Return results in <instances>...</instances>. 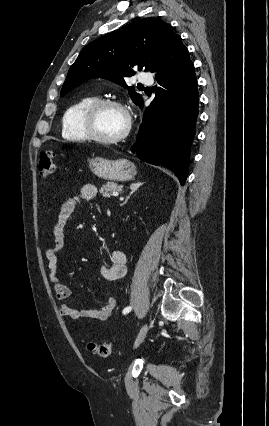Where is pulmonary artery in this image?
Returning a JSON list of instances; mask_svg holds the SVG:
<instances>
[{
  "instance_id": "obj_1",
  "label": "pulmonary artery",
  "mask_w": 269,
  "mask_h": 426,
  "mask_svg": "<svg viewBox=\"0 0 269 426\" xmlns=\"http://www.w3.org/2000/svg\"><path fill=\"white\" fill-rule=\"evenodd\" d=\"M138 81L142 85H151L153 83V77L150 74L142 73L138 76Z\"/></svg>"
}]
</instances>
